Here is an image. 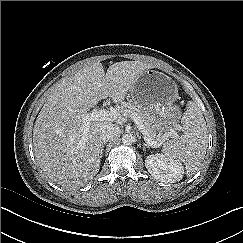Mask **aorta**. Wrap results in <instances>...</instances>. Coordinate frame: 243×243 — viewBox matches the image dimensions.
<instances>
[{
	"label": "aorta",
	"instance_id": "obj_1",
	"mask_svg": "<svg viewBox=\"0 0 243 243\" xmlns=\"http://www.w3.org/2000/svg\"><path fill=\"white\" fill-rule=\"evenodd\" d=\"M135 141L134 136H132L131 134H125L122 136V143L124 145H132Z\"/></svg>",
	"mask_w": 243,
	"mask_h": 243
}]
</instances>
